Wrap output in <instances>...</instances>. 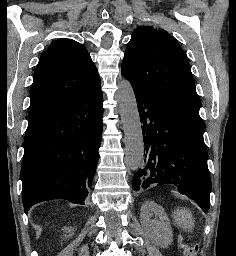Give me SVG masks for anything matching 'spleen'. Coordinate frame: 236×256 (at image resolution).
Wrapping results in <instances>:
<instances>
[{"mask_svg":"<svg viewBox=\"0 0 236 256\" xmlns=\"http://www.w3.org/2000/svg\"><path fill=\"white\" fill-rule=\"evenodd\" d=\"M174 218L175 222L182 224L183 228H187V230L194 228V220L191 216V212H188V210H176V212H174Z\"/></svg>","mask_w":236,"mask_h":256,"instance_id":"spleen-1","label":"spleen"}]
</instances>
